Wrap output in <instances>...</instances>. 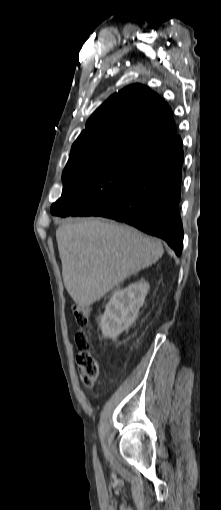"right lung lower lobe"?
<instances>
[{"instance_id": "obj_1", "label": "right lung lower lobe", "mask_w": 221, "mask_h": 510, "mask_svg": "<svg viewBox=\"0 0 221 510\" xmlns=\"http://www.w3.org/2000/svg\"><path fill=\"white\" fill-rule=\"evenodd\" d=\"M183 159L182 140L178 136L149 153L125 192L114 202L88 211L78 207L69 215L102 216L125 222L165 240L179 256L183 246L179 214Z\"/></svg>"}]
</instances>
